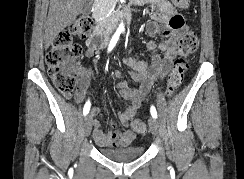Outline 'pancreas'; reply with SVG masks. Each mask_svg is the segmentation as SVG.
I'll return each instance as SVG.
<instances>
[{
	"label": "pancreas",
	"instance_id": "1",
	"mask_svg": "<svg viewBox=\"0 0 244 179\" xmlns=\"http://www.w3.org/2000/svg\"><path fill=\"white\" fill-rule=\"evenodd\" d=\"M109 2H110V0H103V2H102L103 6H104V8H102V10H105V14H109V12H111Z\"/></svg>",
	"mask_w": 244,
	"mask_h": 179
}]
</instances>
